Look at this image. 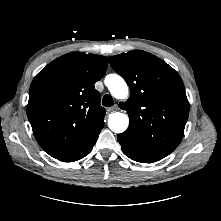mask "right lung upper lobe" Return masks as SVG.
Wrapping results in <instances>:
<instances>
[{
  "label": "right lung upper lobe",
  "mask_w": 221,
  "mask_h": 221,
  "mask_svg": "<svg viewBox=\"0 0 221 221\" xmlns=\"http://www.w3.org/2000/svg\"><path fill=\"white\" fill-rule=\"evenodd\" d=\"M107 64L104 56L68 53L32 81L27 115L38 144L53 158L78 149L104 124L105 109L94 84Z\"/></svg>",
  "instance_id": "obj_1"
}]
</instances>
